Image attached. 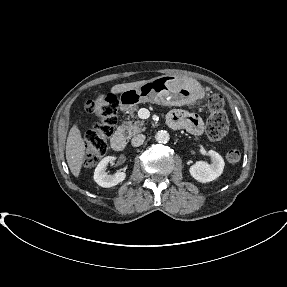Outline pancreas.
<instances>
[{
    "label": "pancreas",
    "instance_id": "cf45deb5",
    "mask_svg": "<svg viewBox=\"0 0 287 287\" xmlns=\"http://www.w3.org/2000/svg\"><path fill=\"white\" fill-rule=\"evenodd\" d=\"M144 125L145 123L143 120H128L124 122L120 129L124 132L127 138H131L132 136L143 132L145 130Z\"/></svg>",
    "mask_w": 287,
    "mask_h": 287
}]
</instances>
